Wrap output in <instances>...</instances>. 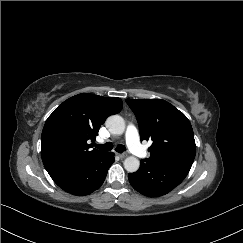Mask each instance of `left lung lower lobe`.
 <instances>
[{
	"label": "left lung lower lobe",
	"instance_id": "obj_1",
	"mask_svg": "<svg viewBox=\"0 0 243 243\" xmlns=\"http://www.w3.org/2000/svg\"><path fill=\"white\" fill-rule=\"evenodd\" d=\"M194 158L175 157L153 163L140 162L137 172L128 174L132 187L141 194L157 197L167 194L187 176Z\"/></svg>",
	"mask_w": 243,
	"mask_h": 243
}]
</instances>
